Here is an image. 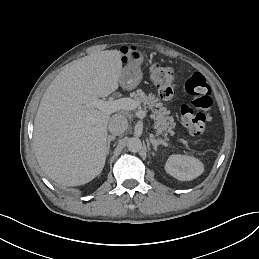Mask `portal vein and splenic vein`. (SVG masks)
I'll use <instances>...</instances> for the list:
<instances>
[{
    "label": "portal vein and splenic vein",
    "mask_w": 259,
    "mask_h": 259,
    "mask_svg": "<svg viewBox=\"0 0 259 259\" xmlns=\"http://www.w3.org/2000/svg\"><path fill=\"white\" fill-rule=\"evenodd\" d=\"M140 103L131 98H120L112 101H104L98 98H95L93 101L89 102L86 105H83L82 108H97L102 111L104 114L110 115L120 110H134ZM139 118H143L145 114L137 115Z\"/></svg>",
    "instance_id": "1"
}]
</instances>
